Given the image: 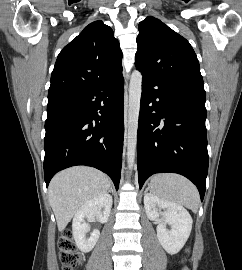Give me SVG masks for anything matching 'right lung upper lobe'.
I'll return each instance as SVG.
<instances>
[{
	"label": "right lung upper lobe",
	"mask_w": 242,
	"mask_h": 270,
	"mask_svg": "<svg viewBox=\"0 0 242 270\" xmlns=\"http://www.w3.org/2000/svg\"><path fill=\"white\" fill-rule=\"evenodd\" d=\"M122 52L113 30L92 22L59 53L48 102L74 95L122 72Z\"/></svg>",
	"instance_id": "right-lung-upper-lobe-1"
}]
</instances>
